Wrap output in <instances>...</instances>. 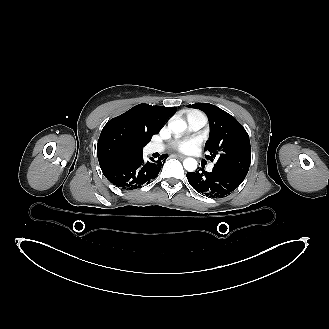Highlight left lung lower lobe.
Listing matches in <instances>:
<instances>
[{"mask_svg":"<svg viewBox=\"0 0 329 329\" xmlns=\"http://www.w3.org/2000/svg\"><path fill=\"white\" fill-rule=\"evenodd\" d=\"M187 179L190 185L200 194L210 198H222L234 191L244 178L228 170L214 166L212 172H188Z\"/></svg>","mask_w":329,"mask_h":329,"instance_id":"0a47b994","label":"left lung lower lobe"}]
</instances>
